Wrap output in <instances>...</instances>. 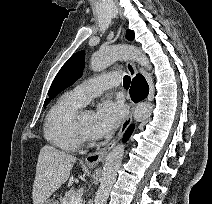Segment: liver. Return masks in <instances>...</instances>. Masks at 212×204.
<instances>
[{
	"label": "liver",
	"mask_w": 212,
	"mask_h": 204,
	"mask_svg": "<svg viewBox=\"0 0 212 204\" xmlns=\"http://www.w3.org/2000/svg\"><path fill=\"white\" fill-rule=\"evenodd\" d=\"M76 160V157L53 146L41 148L33 183V204H44L67 181L68 186L73 185L74 177H70V171Z\"/></svg>",
	"instance_id": "liver-1"
}]
</instances>
